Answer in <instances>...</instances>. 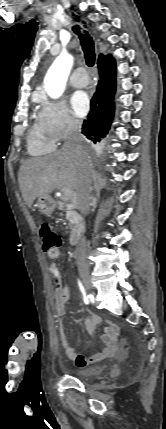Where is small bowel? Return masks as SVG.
<instances>
[{"instance_id": "1", "label": "small bowel", "mask_w": 166, "mask_h": 429, "mask_svg": "<svg viewBox=\"0 0 166 429\" xmlns=\"http://www.w3.org/2000/svg\"><path fill=\"white\" fill-rule=\"evenodd\" d=\"M47 254L49 258L57 259L60 255V252L58 248H55L47 252ZM49 272L52 280L53 296L55 300V312L56 315L61 318L66 313L65 304L70 297L71 288L69 283L63 280L60 270L55 263H51L49 265ZM101 321L102 319L98 315L90 313L89 316L85 319L84 324L89 332H94L96 327L101 323ZM58 329L61 344L66 356L71 359L79 368L86 367L90 364L99 362L105 358L118 355L123 352L122 347L117 342V326L113 323H109L100 336L104 347L100 351L92 355H83L77 353L76 350L71 345H69L65 333L64 324L61 319L59 320Z\"/></svg>"}]
</instances>
